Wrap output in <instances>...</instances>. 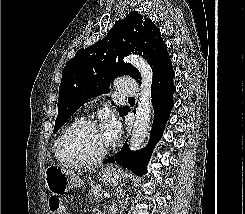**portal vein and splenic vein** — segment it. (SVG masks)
<instances>
[{
    "mask_svg": "<svg viewBox=\"0 0 245 214\" xmlns=\"http://www.w3.org/2000/svg\"><path fill=\"white\" fill-rule=\"evenodd\" d=\"M104 197H105V198H109L110 195H109L108 193H104Z\"/></svg>",
    "mask_w": 245,
    "mask_h": 214,
    "instance_id": "obj_1",
    "label": "portal vein and splenic vein"
}]
</instances>
